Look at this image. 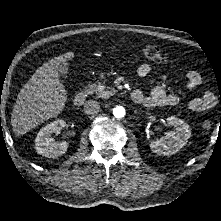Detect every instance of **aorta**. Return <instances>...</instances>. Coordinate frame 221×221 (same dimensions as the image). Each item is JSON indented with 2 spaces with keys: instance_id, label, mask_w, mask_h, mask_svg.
Listing matches in <instances>:
<instances>
[{
  "instance_id": "obj_1",
  "label": "aorta",
  "mask_w": 221,
  "mask_h": 221,
  "mask_svg": "<svg viewBox=\"0 0 221 221\" xmlns=\"http://www.w3.org/2000/svg\"><path fill=\"white\" fill-rule=\"evenodd\" d=\"M112 114L117 119H122L126 115V110L123 106L117 105L113 108Z\"/></svg>"
}]
</instances>
